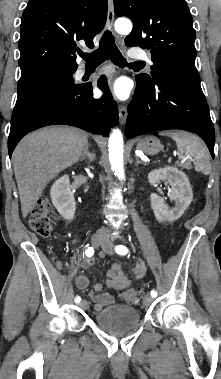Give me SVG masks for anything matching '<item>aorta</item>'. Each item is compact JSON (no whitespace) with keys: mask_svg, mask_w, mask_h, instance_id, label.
Wrapping results in <instances>:
<instances>
[{"mask_svg":"<svg viewBox=\"0 0 221 379\" xmlns=\"http://www.w3.org/2000/svg\"><path fill=\"white\" fill-rule=\"evenodd\" d=\"M115 30L120 34H129L132 30V23L128 19H118L115 22ZM123 136L119 129H114L109 137L108 152L111 169L120 179H125L123 161Z\"/></svg>","mask_w":221,"mask_h":379,"instance_id":"1","label":"aorta"}]
</instances>
